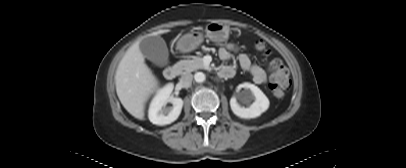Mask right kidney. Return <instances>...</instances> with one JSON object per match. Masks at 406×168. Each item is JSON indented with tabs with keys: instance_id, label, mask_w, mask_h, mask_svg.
Listing matches in <instances>:
<instances>
[{
	"instance_id": "right-kidney-1",
	"label": "right kidney",
	"mask_w": 406,
	"mask_h": 168,
	"mask_svg": "<svg viewBox=\"0 0 406 168\" xmlns=\"http://www.w3.org/2000/svg\"><path fill=\"white\" fill-rule=\"evenodd\" d=\"M172 90L173 84H167L153 98L148 113L149 120L153 124L159 126L171 124L179 117L183 107V100L178 97H171ZM168 102L172 103L171 108L165 107Z\"/></svg>"
}]
</instances>
